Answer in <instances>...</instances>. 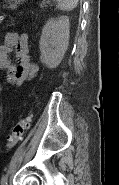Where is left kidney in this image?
Wrapping results in <instances>:
<instances>
[{
    "label": "left kidney",
    "instance_id": "5707ae66",
    "mask_svg": "<svg viewBox=\"0 0 119 185\" xmlns=\"http://www.w3.org/2000/svg\"><path fill=\"white\" fill-rule=\"evenodd\" d=\"M69 18H50L42 29L39 41L40 60L48 68H56L63 59L69 44Z\"/></svg>",
    "mask_w": 119,
    "mask_h": 185
}]
</instances>
